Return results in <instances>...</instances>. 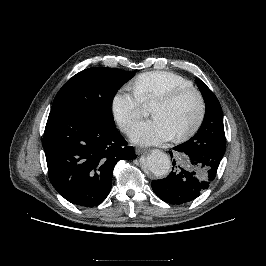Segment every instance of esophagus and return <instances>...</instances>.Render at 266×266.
Instances as JSON below:
<instances>
[{
	"label": "esophagus",
	"instance_id": "34e87169",
	"mask_svg": "<svg viewBox=\"0 0 266 266\" xmlns=\"http://www.w3.org/2000/svg\"><path fill=\"white\" fill-rule=\"evenodd\" d=\"M145 151H147V149H145V148H141V147L135 148V153L137 155H140V154L144 153Z\"/></svg>",
	"mask_w": 266,
	"mask_h": 266
}]
</instances>
